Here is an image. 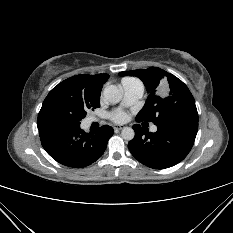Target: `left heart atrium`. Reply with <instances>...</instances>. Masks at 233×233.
Instances as JSON below:
<instances>
[{
	"label": "left heart atrium",
	"mask_w": 233,
	"mask_h": 233,
	"mask_svg": "<svg viewBox=\"0 0 233 233\" xmlns=\"http://www.w3.org/2000/svg\"><path fill=\"white\" fill-rule=\"evenodd\" d=\"M110 118L117 123H123L128 119V114L120 109L114 110L110 114Z\"/></svg>",
	"instance_id": "1"
}]
</instances>
